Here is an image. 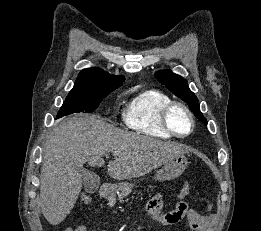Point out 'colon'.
<instances>
[{
	"instance_id": "obj_1",
	"label": "colon",
	"mask_w": 261,
	"mask_h": 231,
	"mask_svg": "<svg viewBox=\"0 0 261 231\" xmlns=\"http://www.w3.org/2000/svg\"><path fill=\"white\" fill-rule=\"evenodd\" d=\"M188 192H189V185L185 184L182 187L181 193L188 194ZM81 201L87 204L91 201V198L88 196H83ZM189 223L192 231H203L206 228H208L211 224L210 214L195 211V213L191 216Z\"/></svg>"
}]
</instances>
